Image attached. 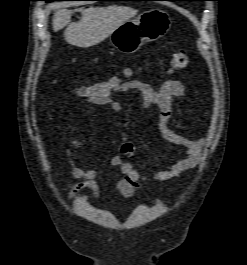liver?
Returning <instances> with one entry per match:
<instances>
[{
  "label": "liver",
  "instance_id": "liver-1",
  "mask_svg": "<svg viewBox=\"0 0 247 265\" xmlns=\"http://www.w3.org/2000/svg\"><path fill=\"white\" fill-rule=\"evenodd\" d=\"M66 4H57L53 14V31L64 27V39L67 43L87 48L96 45L110 36L119 26L137 14V10L125 6L89 7L69 10ZM81 12L79 22L71 23L72 14Z\"/></svg>",
  "mask_w": 247,
  "mask_h": 265
}]
</instances>
